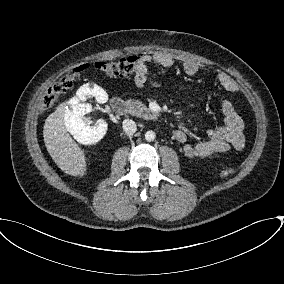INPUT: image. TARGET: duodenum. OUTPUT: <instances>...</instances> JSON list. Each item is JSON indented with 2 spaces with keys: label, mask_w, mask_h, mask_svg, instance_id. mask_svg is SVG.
Listing matches in <instances>:
<instances>
[{
  "label": "duodenum",
  "mask_w": 284,
  "mask_h": 284,
  "mask_svg": "<svg viewBox=\"0 0 284 284\" xmlns=\"http://www.w3.org/2000/svg\"><path fill=\"white\" fill-rule=\"evenodd\" d=\"M110 107L112 111L117 115H126L128 112V106L126 102L118 97H114L110 100Z\"/></svg>",
  "instance_id": "obj_1"
}]
</instances>
